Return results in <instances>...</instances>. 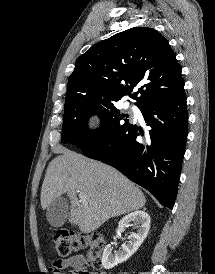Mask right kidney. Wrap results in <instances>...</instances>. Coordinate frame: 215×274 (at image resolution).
Wrapping results in <instances>:
<instances>
[{
    "label": "right kidney",
    "mask_w": 215,
    "mask_h": 274,
    "mask_svg": "<svg viewBox=\"0 0 215 274\" xmlns=\"http://www.w3.org/2000/svg\"><path fill=\"white\" fill-rule=\"evenodd\" d=\"M129 225L137 227V232L128 236L127 243H124L119 251L112 253L113 247L110 244L105 247L102 256L105 269H112L127 261L138 250L149 232L150 216L145 211H134L120 220L117 232L124 231Z\"/></svg>",
    "instance_id": "ca27d5eb"
}]
</instances>
